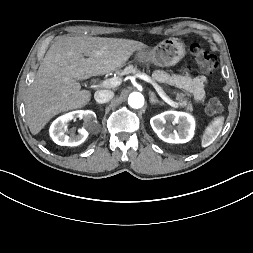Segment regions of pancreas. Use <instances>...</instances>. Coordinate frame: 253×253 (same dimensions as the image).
Wrapping results in <instances>:
<instances>
[{"instance_id":"cf45deb5","label":"pancreas","mask_w":253,"mask_h":253,"mask_svg":"<svg viewBox=\"0 0 253 253\" xmlns=\"http://www.w3.org/2000/svg\"><path fill=\"white\" fill-rule=\"evenodd\" d=\"M116 73L119 76H124V75H129V74L140 73V70L137 69L136 66L129 65L125 67L123 70L117 71ZM176 100H177V103H176L177 106L185 107L187 111L192 112L193 110L192 103L189 102L187 98H185V95L183 93H177Z\"/></svg>"}]
</instances>
